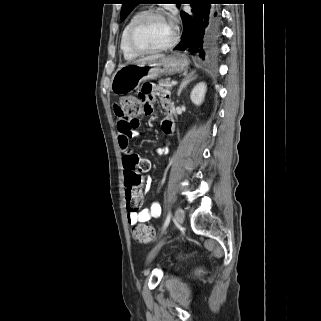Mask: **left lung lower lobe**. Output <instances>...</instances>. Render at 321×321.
<instances>
[{
  "mask_svg": "<svg viewBox=\"0 0 321 321\" xmlns=\"http://www.w3.org/2000/svg\"><path fill=\"white\" fill-rule=\"evenodd\" d=\"M190 4H196L195 14L191 17L181 11L183 21V33L176 50L199 53L202 59L209 54L220 36V12L216 4L219 0H191Z\"/></svg>",
  "mask_w": 321,
  "mask_h": 321,
  "instance_id": "1",
  "label": "left lung lower lobe"
}]
</instances>
